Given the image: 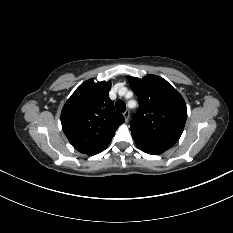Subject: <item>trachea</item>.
<instances>
[{
	"label": "trachea",
	"instance_id": "trachea-1",
	"mask_svg": "<svg viewBox=\"0 0 233 233\" xmlns=\"http://www.w3.org/2000/svg\"><path fill=\"white\" fill-rule=\"evenodd\" d=\"M115 108H116V110H117L118 112L123 113V112H125V110H126V104H125L124 101L118 100V101L115 103Z\"/></svg>",
	"mask_w": 233,
	"mask_h": 233
}]
</instances>
